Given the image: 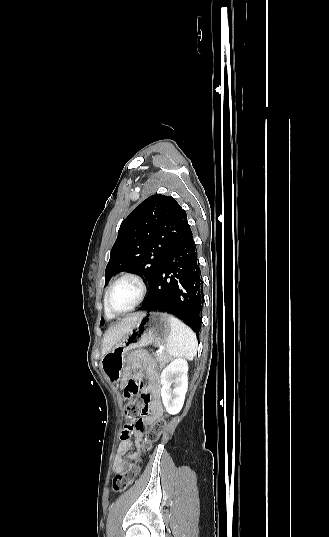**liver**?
<instances>
[{"instance_id":"obj_1","label":"liver","mask_w":329,"mask_h":537,"mask_svg":"<svg viewBox=\"0 0 329 537\" xmlns=\"http://www.w3.org/2000/svg\"><path fill=\"white\" fill-rule=\"evenodd\" d=\"M141 314H135L124 318L120 323L108 329L103 337L102 357L110 351L124 335L132 329L139 320Z\"/></svg>"}]
</instances>
